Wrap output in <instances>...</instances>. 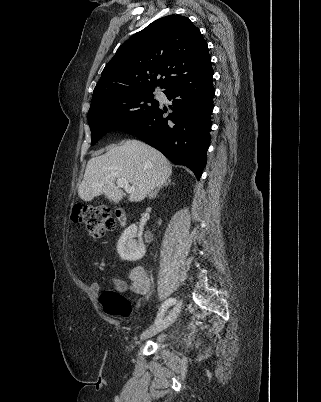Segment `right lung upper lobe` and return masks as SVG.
I'll return each instance as SVG.
<instances>
[{"label":"right lung upper lobe","mask_w":321,"mask_h":402,"mask_svg":"<svg viewBox=\"0 0 321 402\" xmlns=\"http://www.w3.org/2000/svg\"><path fill=\"white\" fill-rule=\"evenodd\" d=\"M211 64L208 45L187 17L160 18L124 42L102 71L91 106L125 94L167 87Z\"/></svg>","instance_id":"right-lung-upper-lobe-1"}]
</instances>
